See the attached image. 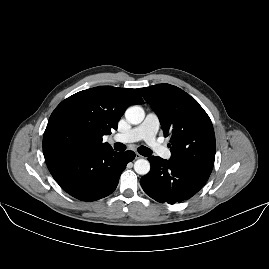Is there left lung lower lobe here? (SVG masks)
<instances>
[{
  "instance_id": "obj_1",
  "label": "left lung lower lobe",
  "mask_w": 269,
  "mask_h": 269,
  "mask_svg": "<svg viewBox=\"0 0 269 269\" xmlns=\"http://www.w3.org/2000/svg\"><path fill=\"white\" fill-rule=\"evenodd\" d=\"M148 160L151 170L141 178L140 184L147 195L161 203L188 200L204 186L210 175L160 157L151 156Z\"/></svg>"
}]
</instances>
